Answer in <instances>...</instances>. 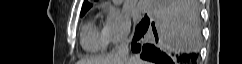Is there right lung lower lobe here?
<instances>
[{
  "instance_id": "1",
  "label": "right lung lower lobe",
  "mask_w": 242,
  "mask_h": 64,
  "mask_svg": "<svg viewBox=\"0 0 242 64\" xmlns=\"http://www.w3.org/2000/svg\"><path fill=\"white\" fill-rule=\"evenodd\" d=\"M156 13L159 34L155 33V41L137 43L148 30L149 21L135 32L132 51L157 64H196L200 42L197 0H156Z\"/></svg>"
}]
</instances>
